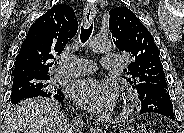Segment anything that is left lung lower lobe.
<instances>
[{
	"label": "left lung lower lobe",
	"mask_w": 184,
	"mask_h": 133,
	"mask_svg": "<svg viewBox=\"0 0 184 133\" xmlns=\"http://www.w3.org/2000/svg\"><path fill=\"white\" fill-rule=\"evenodd\" d=\"M161 95L160 100H156V95ZM139 98V97H138ZM141 99V98H139ZM141 101L140 113H158L175 120L173 105L170 100L168 89L155 87L147 92Z\"/></svg>",
	"instance_id": "left-lung-lower-lobe-1"
}]
</instances>
